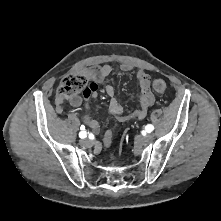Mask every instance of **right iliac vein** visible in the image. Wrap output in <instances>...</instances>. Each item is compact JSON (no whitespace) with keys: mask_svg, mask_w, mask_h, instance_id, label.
Listing matches in <instances>:
<instances>
[{"mask_svg":"<svg viewBox=\"0 0 221 221\" xmlns=\"http://www.w3.org/2000/svg\"><path fill=\"white\" fill-rule=\"evenodd\" d=\"M80 144L84 147H90L92 145V141L89 139H84L80 141Z\"/></svg>","mask_w":221,"mask_h":221,"instance_id":"right-iliac-vein-1","label":"right iliac vein"}]
</instances>
